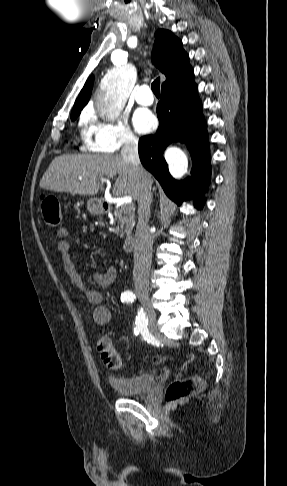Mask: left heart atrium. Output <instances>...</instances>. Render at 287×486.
<instances>
[{"label":"left heart atrium","instance_id":"1","mask_svg":"<svg viewBox=\"0 0 287 486\" xmlns=\"http://www.w3.org/2000/svg\"><path fill=\"white\" fill-rule=\"evenodd\" d=\"M133 123L138 132L145 133L154 127L155 118L148 111H140L135 114Z\"/></svg>","mask_w":287,"mask_h":486}]
</instances>
